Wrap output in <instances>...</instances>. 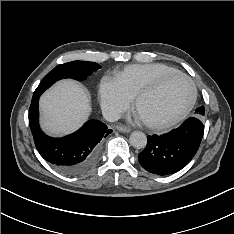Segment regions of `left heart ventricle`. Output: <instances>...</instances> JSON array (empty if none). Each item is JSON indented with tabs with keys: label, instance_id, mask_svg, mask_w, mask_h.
<instances>
[{
	"label": "left heart ventricle",
	"instance_id": "obj_1",
	"mask_svg": "<svg viewBox=\"0 0 234 234\" xmlns=\"http://www.w3.org/2000/svg\"><path fill=\"white\" fill-rule=\"evenodd\" d=\"M192 96L190 83L181 77H173L159 89L143 98L138 114L146 121H161L178 115Z\"/></svg>",
	"mask_w": 234,
	"mask_h": 234
}]
</instances>
